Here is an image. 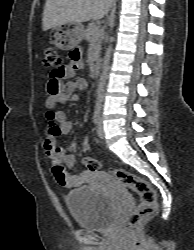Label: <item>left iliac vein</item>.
<instances>
[{
  "mask_svg": "<svg viewBox=\"0 0 194 250\" xmlns=\"http://www.w3.org/2000/svg\"><path fill=\"white\" fill-rule=\"evenodd\" d=\"M97 134L100 138L104 137V128H103V123H102V119H100L99 123H98V127H97Z\"/></svg>",
  "mask_w": 194,
  "mask_h": 250,
  "instance_id": "4c4485c4",
  "label": "left iliac vein"
}]
</instances>
